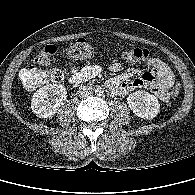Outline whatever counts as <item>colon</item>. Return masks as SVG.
Instances as JSON below:
<instances>
[{"label":"colon","mask_w":195,"mask_h":195,"mask_svg":"<svg viewBox=\"0 0 195 195\" xmlns=\"http://www.w3.org/2000/svg\"><path fill=\"white\" fill-rule=\"evenodd\" d=\"M56 52L57 47L55 45H46L35 58L34 64L21 70L20 77L25 88L35 89L41 85L59 83L63 80L64 74L61 70L41 69V67L46 66L50 62L51 57L54 56ZM66 53L72 58L88 59L92 57L94 50L88 40L80 38L66 48ZM122 58L132 63L146 62L150 58V53L144 48H133L124 51ZM180 93L181 85L179 83L174 84L171 89V96L177 98Z\"/></svg>","instance_id":"1"}]
</instances>
